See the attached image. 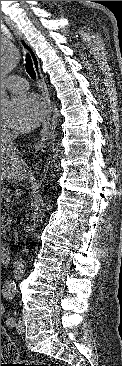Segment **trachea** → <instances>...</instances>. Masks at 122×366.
<instances>
[{"mask_svg": "<svg viewBox=\"0 0 122 366\" xmlns=\"http://www.w3.org/2000/svg\"><path fill=\"white\" fill-rule=\"evenodd\" d=\"M25 67H26V71L29 74V76L32 79H35L36 78V73H35V70H34L33 62L31 60V57L29 56V54L26 56V65H25Z\"/></svg>", "mask_w": 122, "mask_h": 366, "instance_id": "3493384b", "label": "trachea"}]
</instances>
